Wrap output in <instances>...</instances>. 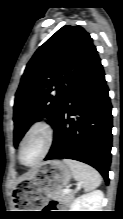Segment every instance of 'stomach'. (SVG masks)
Instances as JSON below:
<instances>
[{
	"mask_svg": "<svg viewBox=\"0 0 123 219\" xmlns=\"http://www.w3.org/2000/svg\"><path fill=\"white\" fill-rule=\"evenodd\" d=\"M72 178L70 167L60 160H50L35 168L31 175L15 188L17 211H38L49 197L60 192Z\"/></svg>",
	"mask_w": 123,
	"mask_h": 219,
	"instance_id": "1",
	"label": "stomach"
}]
</instances>
